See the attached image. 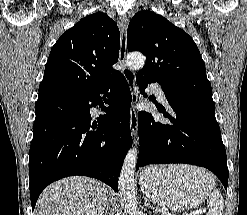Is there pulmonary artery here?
<instances>
[{
	"mask_svg": "<svg viewBox=\"0 0 247 215\" xmlns=\"http://www.w3.org/2000/svg\"><path fill=\"white\" fill-rule=\"evenodd\" d=\"M151 89L160 101H162L163 103L167 102L164 91L158 83L151 84Z\"/></svg>",
	"mask_w": 247,
	"mask_h": 215,
	"instance_id": "1",
	"label": "pulmonary artery"
}]
</instances>
